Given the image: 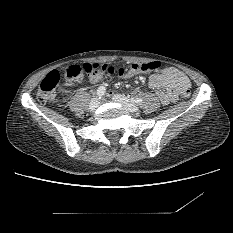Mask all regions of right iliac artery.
<instances>
[{"label": "right iliac artery", "instance_id": "1", "mask_svg": "<svg viewBox=\"0 0 233 233\" xmlns=\"http://www.w3.org/2000/svg\"><path fill=\"white\" fill-rule=\"evenodd\" d=\"M105 92H106L105 87H104V86H100V87L97 89V92H96L97 97L100 99V98L104 95Z\"/></svg>", "mask_w": 233, "mask_h": 233}]
</instances>
